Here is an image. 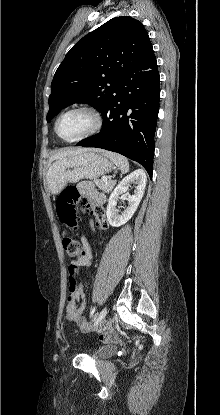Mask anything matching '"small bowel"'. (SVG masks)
<instances>
[{"mask_svg": "<svg viewBox=\"0 0 220 415\" xmlns=\"http://www.w3.org/2000/svg\"><path fill=\"white\" fill-rule=\"evenodd\" d=\"M79 192L82 196V202L85 206L84 209L93 208L95 205L103 206L106 202V197L103 193L98 191L92 183L83 182L78 187ZM97 224L100 228L105 229L107 227V221L105 215L103 217H96ZM89 225L92 226L91 221ZM81 249L82 254L78 261L71 262L69 266L70 270H75L78 272L81 269H86L91 266V259L93 256V244L91 239V233H85L81 239ZM85 296L83 293V287L81 284H78L76 292L72 295V300L67 299L66 304V319L76 324L80 327L81 330L86 331L89 328L85 316ZM104 328H99L96 330L97 333H104ZM102 341H107L108 339H100Z\"/></svg>", "mask_w": 220, "mask_h": 415, "instance_id": "small-bowel-1", "label": "small bowel"}]
</instances>
